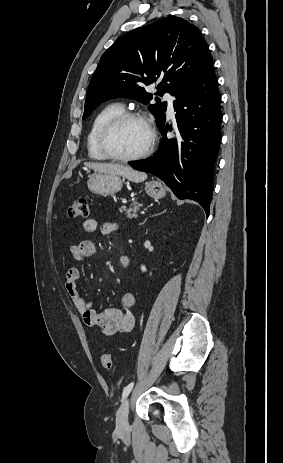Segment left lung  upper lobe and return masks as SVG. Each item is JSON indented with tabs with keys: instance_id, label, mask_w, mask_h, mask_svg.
Returning a JSON list of instances; mask_svg holds the SVG:
<instances>
[{
	"instance_id": "1",
	"label": "left lung upper lobe",
	"mask_w": 283,
	"mask_h": 463,
	"mask_svg": "<svg viewBox=\"0 0 283 463\" xmlns=\"http://www.w3.org/2000/svg\"><path fill=\"white\" fill-rule=\"evenodd\" d=\"M212 67V58L199 30L188 21L168 17L137 28L118 38L102 55L89 83L83 119L103 101L126 97L144 103L152 100L143 88L158 78L157 94L175 96L202 78ZM167 104L157 102L149 110L157 126L165 121Z\"/></svg>"
}]
</instances>
